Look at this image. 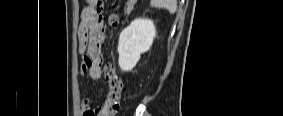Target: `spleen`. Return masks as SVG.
<instances>
[{"instance_id": "3e777b00", "label": "spleen", "mask_w": 283, "mask_h": 116, "mask_svg": "<svg viewBox=\"0 0 283 116\" xmlns=\"http://www.w3.org/2000/svg\"><path fill=\"white\" fill-rule=\"evenodd\" d=\"M151 6L156 8H163L174 14L177 8L176 0H151Z\"/></svg>"}]
</instances>
